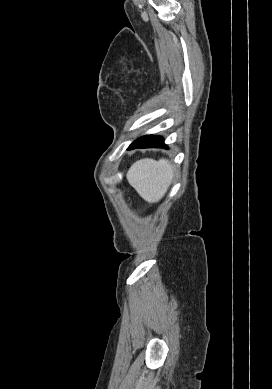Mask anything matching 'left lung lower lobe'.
<instances>
[{"instance_id":"obj_1","label":"left lung lower lobe","mask_w":272,"mask_h":389,"mask_svg":"<svg viewBox=\"0 0 272 389\" xmlns=\"http://www.w3.org/2000/svg\"><path fill=\"white\" fill-rule=\"evenodd\" d=\"M136 148H168L162 137L153 135H144L139 139L135 140L129 147L128 150Z\"/></svg>"}]
</instances>
